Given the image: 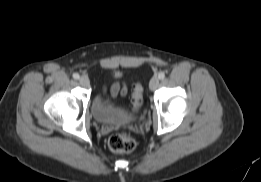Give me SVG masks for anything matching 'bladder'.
Masks as SVG:
<instances>
[{"label": "bladder", "instance_id": "31cf9c89", "mask_svg": "<svg viewBox=\"0 0 261 182\" xmlns=\"http://www.w3.org/2000/svg\"><path fill=\"white\" fill-rule=\"evenodd\" d=\"M91 110L94 119L102 124H114L128 120L124 105L121 103L107 104L101 93H97L93 97Z\"/></svg>", "mask_w": 261, "mask_h": 182}]
</instances>
